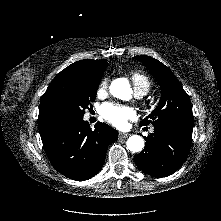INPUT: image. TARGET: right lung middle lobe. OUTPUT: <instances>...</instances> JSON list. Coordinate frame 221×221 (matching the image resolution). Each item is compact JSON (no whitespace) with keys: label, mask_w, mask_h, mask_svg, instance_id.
<instances>
[{"label":"right lung middle lobe","mask_w":221,"mask_h":221,"mask_svg":"<svg viewBox=\"0 0 221 221\" xmlns=\"http://www.w3.org/2000/svg\"><path fill=\"white\" fill-rule=\"evenodd\" d=\"M100 79L76 71H61L47 89V100L68 121L82 118L84 109L96 98Z\"/></svg>","instance_id":"right-lung-middle-lobe-1"}]
</instances>
